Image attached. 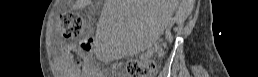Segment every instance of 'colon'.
Here are the masks:
<instances>
[{
	"label": "colon",
	"instance_id": "5ec220e1",
	"mask_svg": "<svg viewBox=\"0 0 258 77\" xmlns=\"http://www.w3.org/2000/svg\"><path fill=\"white\" fill-rule=\"evenodd\" d=\"M83 18L78 13H65L60 18V32L64 38H78L84 31ZM80 48L84 52L92 50V38L86 37L80 41ZM157 68L151 59H131L128 62V74L131 77H150Z\"/></svg>",
	"mask_w": 258,
	"mask_h": 77
}]
</instances>
